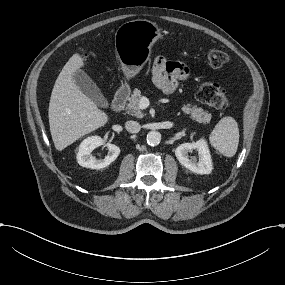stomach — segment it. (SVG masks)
Masks as SVG:
<instances>
[{
	"label": "stomach",
	"instance_id": "0dacf381",
	"mask_svg": "<svg viewBox=\"0 0 285 285\" xmlns=\"http://www.w3.org/2000/svg\"><path fill=\"white\" fill-rule=\"evenodd\" d=\"M163 37L156 22L147 19L128 21L115 33V52L126 79L138 75L150 60L153 45Z\"/></svg>",
	"mask_w": 285,
	"mask_h": 285
}]
</instances>
